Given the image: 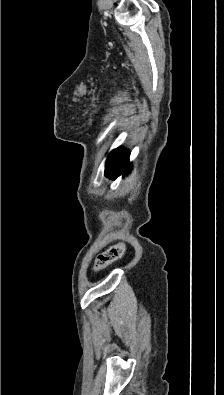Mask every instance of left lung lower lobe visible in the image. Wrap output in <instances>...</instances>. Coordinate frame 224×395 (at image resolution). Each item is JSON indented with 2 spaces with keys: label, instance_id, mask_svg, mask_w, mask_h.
<instances>
[{
  "label": "left lung lower lobe",
  "instance_id": "0a47b994",
  "mask_svg": "<svg viewBox=\"0 0 224 395\" xmlns=\"http://www.w3.org/2000/svg\"><path fill=\"white\" fill-rule=\"evenodd\" d=\"M129 151L124 148L113 150L106 161L105 174L110 178H116L130 171Z\"/></svg>",
  "mask_w": 224,
  "mask_h": 395
}]
</instances>
